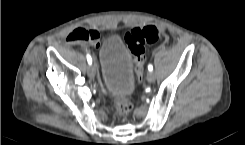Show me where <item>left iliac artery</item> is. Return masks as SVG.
<instances>
[{
	"instance_id": "left-iliac-artery-1",
	"label": "left iliac artery",
	"mask_w": 245,
	"mask_h": 145,
	"mask_svg": "<svg viewBox=\"0 0 245 145\" xmlns=\"http://www.w3.org/2000/svg\"><path fill=\"white\" fill-rule=\"evenodd\" d=\"M148 70L152 71L153 70V66L151 64L148 65Z\"/></svg>"
}]
</instances>
